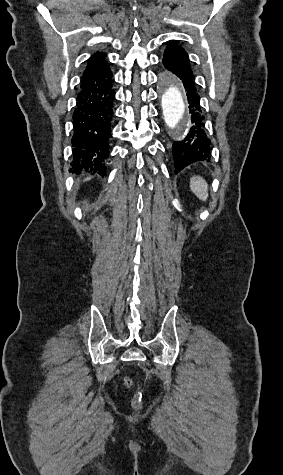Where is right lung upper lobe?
I'll list each match as a JSON object with an SVG mask.
<instances>
[{
  "mask_svg": "<svg viewBox=\"0 0 283 475\" xmlns=\"http://www.w3.org/2000/svg\"><path fill=\"white\" fill-rule=\"evenodd\" d=\"M106 55L102 52H97L89 58L84 73H95L103 71L107 68L108 62L105 60Z\"/></svg>",
  "mask_w": 283,
  "mask_h": 475,
  "instance_id": "cb5924a9",
  "label": "right lung upper lobe"
}]
</instances>
